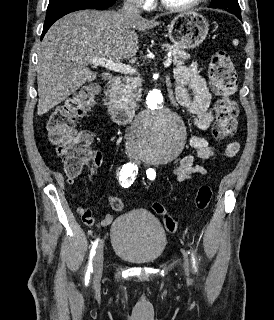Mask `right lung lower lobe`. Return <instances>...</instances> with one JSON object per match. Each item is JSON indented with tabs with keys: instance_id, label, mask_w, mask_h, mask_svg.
<instances>
[{
	"instance_id": "1",
	"label": "right lung lower lobe",
	"mask_w": 274,
	"mask_h": 320,
	"mask_svg": "<svg viewBox=\"0 0 274 320\" xmlns=\"http://www.w3.org/2000/svg\"><path fill=\"white\" fill-rule=\"evenodd\" d=\"M115 1L116 0H82L78 2L66 3L62 6L48 10L46 13V19L44 22L41 39L44 37L45 33L51 27V25L64 15L84 9L104 10L113 5Z\"/></svg>"
}]
</instances>
